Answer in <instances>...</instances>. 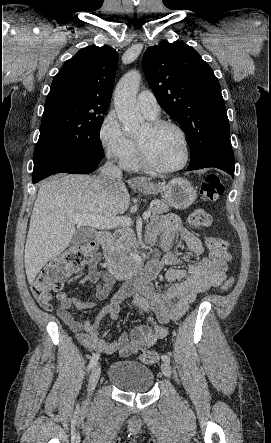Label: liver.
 Listing matches in <instances>:
<instances>
[{
    "instance_id": "1",
    "label": "liver",
    "mask_w": 271,
    "mask_h": 443,
    "mask_svg": "<svg viewBox=\"0 0 271 443\" xmlns=\"http://www.w3.org/2000/svg\"><path fill=\"white\" fill-rule=\"evenodd\" d=\"M130 206L124 182L104 184L99 176L59 174L41 184L30 218L24 263L29 283L43 265L68 247L74 233L71 216L89 214L115 218Z\"/></svg>"
}]
</instances>
